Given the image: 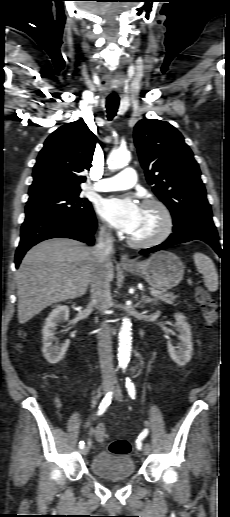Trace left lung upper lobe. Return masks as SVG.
<instances>
[{
	"instance_id": "1",
	"label": "left lung upper lobe",
	"mask_w": 230,
	"mask_h": 517,
	"mask_svg": "<svg viewBox=\"0 0 230 517\" xmlns=\"http://www.w3.org/2000/svg\"><path fill=\"white\" fill-rule=\"evenodd\" d=\"M134 141L152 190L169 208L174 232L212 219L198 163L181 133L157 119L140 120Z\"/></svg>"
}]
</instances>
